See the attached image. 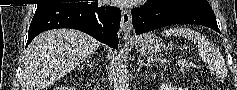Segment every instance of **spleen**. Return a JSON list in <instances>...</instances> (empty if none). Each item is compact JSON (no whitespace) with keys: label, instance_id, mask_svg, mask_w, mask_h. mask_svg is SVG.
<instances>
[{"label":"spleen","instance_id":"spleen-1","mask_svg":"<svg viewBox=\"0 0 237 90\" xmlns=\"http://www.w3.org/2000/svg\"><path fill=\"white\" fill-rule=\"evenodd\" d=\"M163 34H165V36H182V38L192 40L193 44L198 48L199 56H201V58H207L210 44L206 38L198 34V32L189 30V28H169V30H164Z\"/></svg>","mask_w":237,"mask_h":90}]
</instances>
